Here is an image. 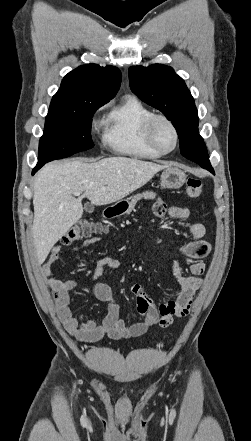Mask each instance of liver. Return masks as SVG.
Wrapping results in <instances>:
<instances>
[{"label":"liver","instance_id":"6515ba94","mask_svg":"<svg viewBox=\"0 0 251 441\" xmlns=\"http://www.w3.org/2000/svg\"><path fill=\"white\" fill-rule=\"evenodd\" d=\"M128 157H109L87 163L72 160L49 163L35 176L32 234L39 264L51 248L82 217V198L97 206L119 201L170 167ZM105 187V190L101 188ZM83 192L79 198L73 193Z\"/></svg>","mask_w":251,"mask_h":441}]
</instances>
